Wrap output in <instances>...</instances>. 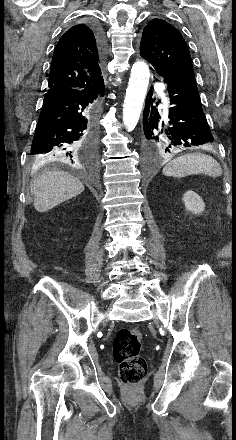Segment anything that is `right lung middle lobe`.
<instances>
[{"mask_svg": "<svg viewBox=\"0 0 236 440\" xmlns=\"http://www.w3.org/2000/svg\"><path fill=\"white\" fill-rule=\"evenodd\" d=\"M31 160H32V163H34V164L40 163V160L38 158L32 157Z\"/></svg>", "mask_w": 236, "mask_h": 440, "instance_id": "obj_1", "label": "right lung middle lobe"}]
</instances>
